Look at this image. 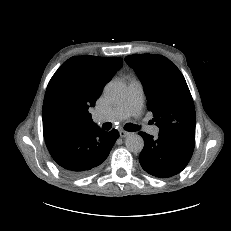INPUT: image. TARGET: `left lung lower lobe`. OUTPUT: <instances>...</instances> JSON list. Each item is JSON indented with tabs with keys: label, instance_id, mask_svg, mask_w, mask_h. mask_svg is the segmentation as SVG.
Returning <instances> with one entry per match:
<instances>
[{
	"label": "left lung lower lobe",
	"instance_id": "obj_1",
	"mask_svg": "<svg viewBox=\"0 0 231 231\" xmlns=\"http://www.w3.org/2000/svg\"><path fill=\"white\" fill-rule=\"evenodd\" d=\"M139 134L144 139L139 161L147 173L159 178H168L180 173L190 161L195 139L161 133L154 139L144 132Z\"/></svg>",
	"mask_w": 231,
	"mask_h": 231
}]
</instances>
